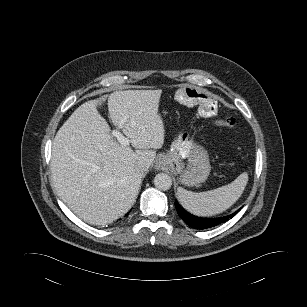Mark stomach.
I'll return each mask as SVG.
<instances>
[{
	"label": "stomach",
	"instance_id": "1",
	"mask_svg": "<svg viewBox=\"0 0 307 307\" xmlns=\"http://www.w3.org/2000/svg\"><path fill=\"white\" fill-rule=\"evenodd\" d=\"M189 158L185 166L183 159ZM158 168H167L179 174L183 185L196 186L207 180L210 171V159L207 150L194 141L188 132H182L173 142L171 149L159 156Z\"/></svg>",
	"mask_w": 307,
	"mask_h": 307
}]
</instances>
